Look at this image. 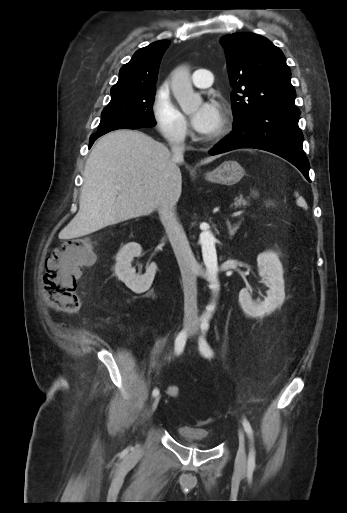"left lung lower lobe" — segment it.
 <instances>
[{"label":"left lung lower lobe","mask_w":347,"mask_h":513,"mask_svg":"<svg viewBox=\"0 0 347 513\" xmlns=\"http://www.w3.org/2000/svg\"><path fill=\"white\" fill-rule=\"evenodd\" d=\"M297 107H268L234 122L233 131L209 153L216 155L239 148L265 150L295 165L310 181L309 162L304 154L303 134L298 127Z\"/></svg>","instance_id":"left-lung-lower-lobe-1"}]
</instances>
